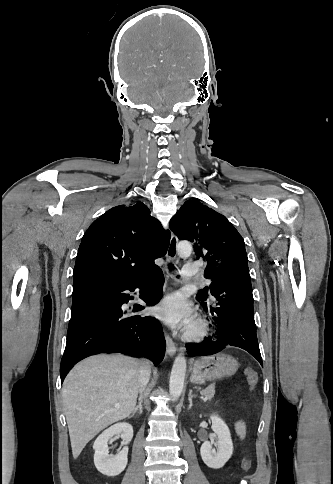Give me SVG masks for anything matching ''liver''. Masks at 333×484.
Returning a JSON list of instances; mask_svg holds the SVG:
<instances>
[{
  "instance_id": "obj_1",
  "label": "liver",
  "mask_w": 333,
  "mask_h": 484,
  "mask_svg": "<svg viewBox=\"0 0 333 484\" xmlns=\"http://www.w3.org/2000/svg\"><path fill=\"white\" fill-rule=\"evenodd\" d=\"M140 367L141 361L134 358L102 354L83 360L68 373L62 399L74 459L100 431L133 412Z\"/></svg>"
}]
</instances>
